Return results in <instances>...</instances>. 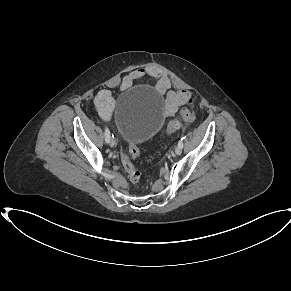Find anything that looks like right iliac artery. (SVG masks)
<instances>
[{
  "mask_svg": "<svg viewBox=\"0 0 291 291\" xmlns=\"http://www.w3.org/2000/svg\"><path fill=\"white\" fill-rule=\"evenodd\" d=\"M105 140H106L107 143H109L110 131H109V129L107 127L105 128Z\"/></svg>",
  "mask_w": 291,
  "mask_h": 291,
  "instance_id": "right-iliac-artery-1",
  "label": "right iliac artery"
}]
</instances>
